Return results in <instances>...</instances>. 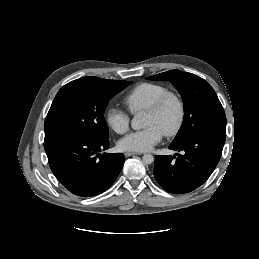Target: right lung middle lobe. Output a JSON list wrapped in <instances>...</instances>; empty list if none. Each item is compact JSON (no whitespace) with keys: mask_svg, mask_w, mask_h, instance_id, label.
Wrapping results in <instances>:
<instances>
[{"mask_svg":"<svg viewBox=\"0 0 259 259\" xmlns=\"http://www.w3.org/2000/svg\"><path fill=\"white\" fill-rule=\"evenodd\" d=\"M130 83L122 80L100 83L83 77L64 85L47 114L45 136L79 133L108 140L104 111L109 100Z\"/></svg>","mask_w":259,"mask_h":259,"instance_id":"right-lung-middle-lobe-1","label":"right lung middle lobe"}]
</instances>
